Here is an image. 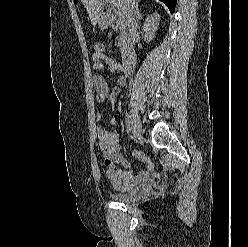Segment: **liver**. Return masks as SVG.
<instances>
[{"label": "liver", "mask_w": 248, "mask_h": 247, "mask_svg": "<svg viewBox=\"0 0 248 247\" xmlns=\"http://www.w3.org/2000/svg\"><path fill=\"white\" fill-rule=\"evenodd\" d=\"M103 0H81L84 7L86 8L89 17L91 19V23L93 26L99 22L100 17L103 15L104 4L102 3ZM113 4L114 7L118 10V12L124 15L125 11V0H105ZM104 2V1H103ZM138 3V0H135Z\"/></svg>", "instance_id": "liver-1"}]
</instances>
